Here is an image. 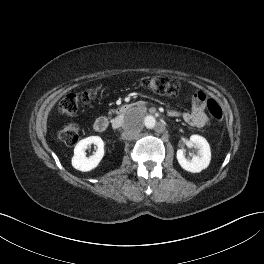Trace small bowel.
Here are the masks:
<instances>
[{
  "instance_id": "c3829d8e",
  "label": "small bowel",
  "mask_w": 264,
  "mask_h": 264,
  "mask_svg": "<svg viewBox=\"0 0 264 264\" xmlns=\"http://www.w3.org/2000/svg\"><path fill=\"white\" fill-rule=\"evenodd\" d=\"M205 94L203 92H195L192 99V109L182 113L172 111L170 115L181 116L182 119L189 125L202 128L208 123V117L205 113Z\"/></svg>"
}]
</instances>
